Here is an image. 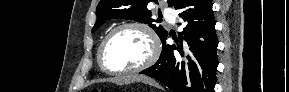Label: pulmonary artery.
Instances as JSON below:
<instances>
[{
  "mask_svg": "<svg viewBox=\"0 0 289 92\" xmlns=\"http://www.w3.org/2000/svg\"><path fill=\"white\" fill-rule=\"evenodd\" d=\"M164 15H165L166 19H167L170 23H172V24L175 23V13H174L173 10H171V9H165V10H164Z\"/></svg>",
  "mask_w": 289,
  "mask_h": 92,
  "instance_id": "pulmonary-artery-1",
  "label": "pulmonary artery"
}]
</instances>
